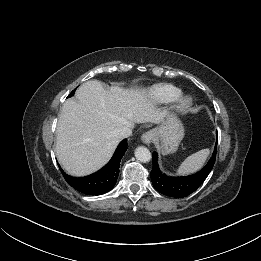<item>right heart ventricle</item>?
<instances>
[{
	"label": "right heart ventricle",
	"mask_w": 261,
	"mask_h": 261,
	"mask_svg": "<svg viewBox=\"0 0 261 261\" xmlns=\"http://www.w3.org/2000/svg\"><path fill=\"white\" fill-rule=\"evenodd\" d=\"M182 95V90L172 84H157L148 91L149 100L156 105H167Z\"/></svg>",
	"instance_id": "obj_1"
}]
</instances>
